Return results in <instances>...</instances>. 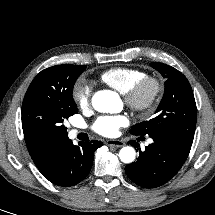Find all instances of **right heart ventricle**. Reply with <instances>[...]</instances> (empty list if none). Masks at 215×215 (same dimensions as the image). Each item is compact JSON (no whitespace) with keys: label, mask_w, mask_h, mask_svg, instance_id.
Instances as JSON below:
<instances>
[{"label":"right heart ventricle","mask_w":215,"mask_h":215,"mask_svg":"<svg viewBox=\"0 0 215 215\" xmlns=\"http://www.w3.org/2000/svg\"><path fill=\"white\" fill-rule=\"evenodd\" d=\"M146 76L145 71L131 67H113L100 75V80L124 94L133 84Z\"/></svg>","instance_id":"right-heart-ventricle-1"}]
</instances>
